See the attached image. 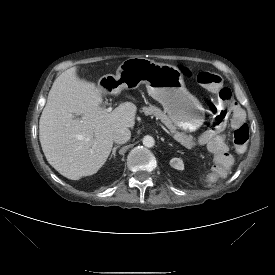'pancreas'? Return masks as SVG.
Segmentation results:
<instances>
[{
    "mask_svg": "<svg viewBox=\"0 0 275 275\" xmlns=\"http://www.w3.org/2000/svg\"><path fill=\"white\" fill-rule=\"evenodd\" d=\"M142 112H144L145 115H153L157 119L161 120V122H163L166 125V127L171 131V133H173L178 138L179 142L184 146L192 147L194 145L193 137L177 132L176 126L172 123V121L166 115V113L161 109L151 105L149 107H143Z\"/></svg>",
    "mask_w": 275,
    "mask_h": 275,
    "instance_id": "obj_1",
    "label": "pancreas"
}]
</instances>
